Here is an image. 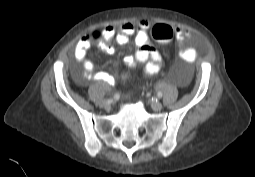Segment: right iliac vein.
Listing matches in <instances>:
<instances>
[{
  "instance_id": "right-iliac-vein-1",
  "label": "right iliac vein",
  "mask_w": 255,
  "mask_h": 177,
  "mask_svg": "<svg viewBox=\"0 0 255 177\" xmlns=\"http://www.w3.org/2000/svg\"><path fill=\"white\" fill-rule=\"evenodd\" d=\"M110 105V101H108V100H102L101 102H100V106L101 107H108Z\"/></svg>"
}]
</instances>
